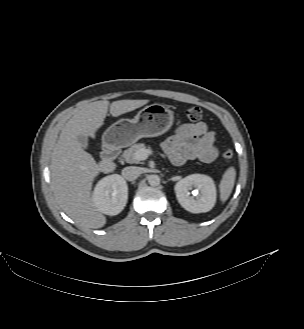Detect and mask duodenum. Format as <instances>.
I'll return each instance as SVG.
<instances>
[{"mask_svg": "<svg viewBox=\"0 0 304 329\" xmlns=\"http://www.w3.org/2000/svg\"><path fill=\"white\" fill-rule=\"evenodd\" d=\"M119 153L118 146L114 145L111 142L106 141L104 143L103 151H102V160L103 161H112L115 157H117Z\"/></svg>", "mask_w": 304, "mask_h": 329, "instance_id": "duodenum-1", "label": "duodenum"}]
</instances>
